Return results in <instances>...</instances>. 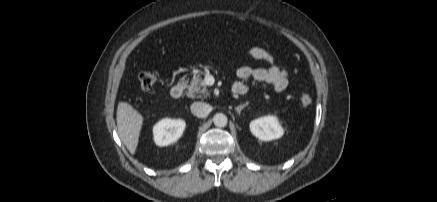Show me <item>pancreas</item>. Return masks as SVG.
<instances>
[{"label":"pancreas","mask_w":437,"mask_h":202,"mask_svg":"<svg viewBox=\"0 0 437 202\" xmlns=\"http://www.w3.org/2000/svg\"><path fill=\"white\" fill-rule=\"evenodd\" d=\"M182 82L188 89L186 92L188 97L202 98V96L206 97L209 95L205 81L200 75L194 76L190 81V84H188V80H182Z\"/></svg>","instance_id":"cf45deb5"}]
</instances>
